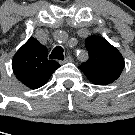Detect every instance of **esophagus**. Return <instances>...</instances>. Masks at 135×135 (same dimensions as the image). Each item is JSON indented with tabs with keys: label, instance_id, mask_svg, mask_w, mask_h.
<instances>
[{
	"label": "esophagus",
	"instance_id": "obj_1",
	"mask_svg": "<svg viewBox=\"0 0 135 135\" xmlns=\"http://www.w3.org/2000/svg\"><path fill=\"white\" fill-rule=\"evenodd\" d=\"M73 58L71 56H67L63 61H60V64L72 62Z\"/></svg>",
	"mask_w": 135,
	"mask_h": 135
}]
</instances>
